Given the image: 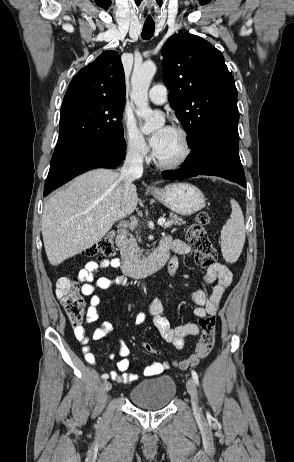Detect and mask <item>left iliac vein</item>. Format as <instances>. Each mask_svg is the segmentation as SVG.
I'll list each match as a JSON object with an SVG mask.
<instances>
[{
	"label": "left iliac vein",
	"mask_w": 294,
	"mask_h": 462,
	"mask_svg": "<svg viewBox=\"0 0 294 462\" xmlns=\"http://www.w3.org/2000/svg\"><path fill=\"white\" fill-rule=\"evenodd\" d=\"M186 387H187V391H188V393H189V395L191 397V403H192L193 411L195 413H199L200 408H199V405H198V393H197L196 385H195L194 381L191 378H189L187 380Z\"/></svg>",
	"instance_id": "obj_1"
}]
</instances>
